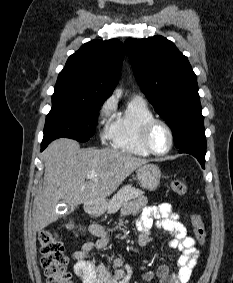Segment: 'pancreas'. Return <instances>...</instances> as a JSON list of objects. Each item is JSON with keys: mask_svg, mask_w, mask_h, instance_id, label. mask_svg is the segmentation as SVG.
<instances>
[{"mask_svg": "<svg viewBox=\"0 0 233 283\" xmlns=\"http://www.w3.org/2000/svg\"><path fill=\"white\" fill-rule=\"evenodd\" d=\"M144 191L136 189L132 185H125L118 190V192L112 197L108 204V213H115L122 204L129 200L142 196Z\"/></svg>", "mask_w": 233, "mask_h": 283, "instance_id": "cf45deb5", "label": "pancreas"}]
</instances>
